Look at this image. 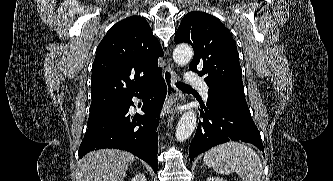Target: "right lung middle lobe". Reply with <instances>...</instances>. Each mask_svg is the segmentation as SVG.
<instances>
[{
  "mask_svg": "<svg viewBox=\"0 0 333 181\" xmlns=\"http://www.w3.org/2000/svg\"><path fill=\"white\" fill-rule=\"evenodd\" d=\"M112 106L101 108V109H97V110H90L89 119H92V118H94L96 116H99L100 114H102L105 111L109 110Z\"/></svg>",
  "mask_w": 333,
  "mask_h": 181,
  "instance_id": "dd1d6c3e",
  "label": "right lung middle lobe"
}]
</instances>
